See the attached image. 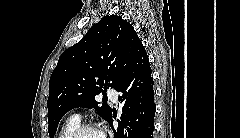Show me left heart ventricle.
<instances>
[{
    "instance_id": "obj_1",
    "label": "left heart ventricle",
    "mask_w": 240,
    "mask_h": 138,
    "mask_svg": "<svg viewBox=\"0 0 240 138\" xmlns=\"http://www.w3.org/2000/svg\"><path fill=\"white\" fill-rule=\"evenodd\" d=\"M80 138H103L102 133L96 130L85 131Z\"/></svg>"
}]
</instances>
